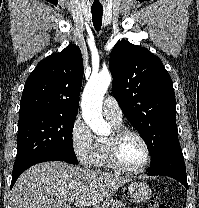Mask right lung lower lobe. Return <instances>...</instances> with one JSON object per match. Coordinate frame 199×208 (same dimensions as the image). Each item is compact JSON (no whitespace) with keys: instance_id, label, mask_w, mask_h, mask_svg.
Returning <instances> with one entry per match:
<instances>
[{"instance_id":"1","label":"right lung lower lobe","mask_w":199,"mask_h":208,"mask_svg":"<svg viewBox=\"0 0 199 208\" xmlns=\"http://www.w3.org/2000/svg\"><path fill=\"white\" fill-rule=\"evenodd\" d=\"M45 161H63L61 158L58 157H41V158H36L33 159L29 162L24 163L23 165L13 169L12 173V182H11V188L15 184L17 178L23 173L27 168L31 167L34 164L40 163V162H45Z\"/></svg>"}]
</instances>
